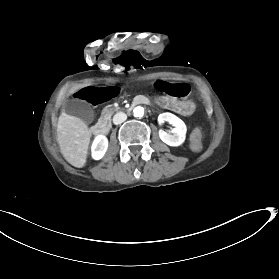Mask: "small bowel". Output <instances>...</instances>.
Wrapping results in <instances>:
<instances>
[{"label": "small bowel", "instance_id": "obj_1", "mask_svg": "<svg viewBox=\"0 0 279 279\" xmlns=\"http://www.w3.org/2000/svg\"><path fill=\"white\" fill-rule=\"evenodd\" d=\"M155 88L173 98H186L190 94V86L183 81L159 79L154 83Z\"/></svg>", "mask_w": 279, "mask_h": 279}]
</instances>
